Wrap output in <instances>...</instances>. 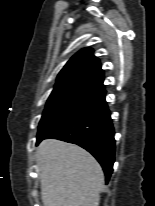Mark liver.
<instances>
[{
  "mask_svg": "<svg viewBox=\"0 0 155 206\" xmlns=\"http://www.w3.org/2000/svg\"><path fill=\"white\" fill-rule=\"evenodd\" d=\"M44 206H99L104 173L81 147L47 139L37 150Z\"/></svg>",
  "mask_w": 155,
  "mask_h": 206,
  "instance_id": "liver-1",
  "label": "liver"
}]
</instances>
